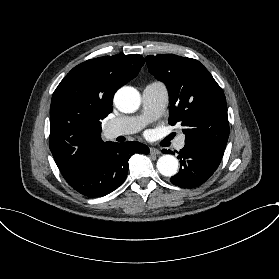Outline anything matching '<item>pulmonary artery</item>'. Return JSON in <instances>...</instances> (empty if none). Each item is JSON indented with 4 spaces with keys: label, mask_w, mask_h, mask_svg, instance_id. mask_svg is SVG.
Segmentation results:
<instances>
[{
    "label": "pulmonary artery",
    "mask_w": 279,
    "mask_h": 279,
    "mask_svg": "<svg viewBox=\"0 0 279 279\" xmlns=\"http://www.w3.org/2000/svg\"><path fill=\"white\" fill-rule=\"evenodd\" d=\"M169 101L167 86L162 81H153L145 86L142 93L143 113L139 116L125 117L106 127L108 137L128 135L142 129L148 122L159 118ZM185 135L177 140V148L184 146Z\"/></svg>",
    "instance_id": "e3ab8cb5"
}]
</instances>
